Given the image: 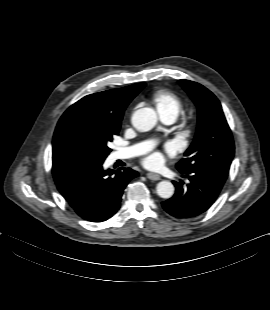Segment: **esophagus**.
Listing matches in <instances>:
<instances>
[{
  "label": "esophagus",
  "instance_id": "34e87169",
  "mask_svg": "<svg viewBox=\"0 0 270 310\" xmlns=\"http://www.w3.org/2000/svg\"><path fill=\"white\" fill-rule=\"evenodd\" d=\"M146 176H147L148 179L153 180V181H157V180L161 179L160 175L155 174V173H151V172H148L146 174Z\"/></svg>",
  "mask_w": 270,
  "mask_h": 310
}]
</instances>
